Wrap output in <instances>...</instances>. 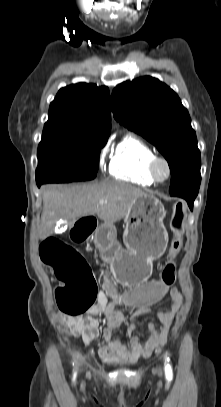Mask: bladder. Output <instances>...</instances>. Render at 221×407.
Here are the masks:
<instances>
[{
	"mask_svg": "<svg viewBox=\"0 0 221 407\" xmlns=\"http://www.w3.org/2000/svg\"><path fill=\"white\" fill-rule=\"evenodd\" d=\"M109 362H110V363H113V364H118V365H126V364H129V362H126V361H119V360H109Z\"/></svg>",
	"mask_w": 221,
	"mask_h": 407,
	"instance_id": "bladder-1",
	"label": "bladder"
}]
</instances>
